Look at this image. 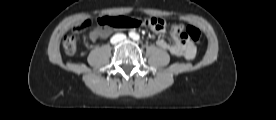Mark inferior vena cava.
Here are the masks:
<instances>
[{
  "label": "inferior vena cava",
  "mask_w": 276,
  "mask_h": 120,
  "mask_svg": "<svg viewBox=\"0 0 276 120\" xmlns=\"http://www.w3.org/2000/svg\"><path fill=\"white\" fill-rule=\"evenodd\" d=\"M126 39V36L124 35V34H115L112 38H111V40H110V42L112 43V44H117L118 42H121V41H123V40H125Z\"/></svg>",
  "instance_id": "602c4592"
}]
</instances>
